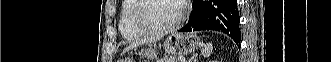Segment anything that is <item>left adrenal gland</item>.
I'll list each match as a JSON object with an SVG mask.
<instances>
[{"label":"left adrenal gland","instance_id":"obj_1","mask_svg":"<svg viewBox=\"0 0 331 62\" xmlns=\"http://www.w3.org/2000/svg\"><path fill=\"white\" fill-rule=\"evenodd\" d=\"M192 60H193V62H195L196 60H194V56L191 58V62H192Z\"/></svg>","mask_w":331,"mask_h":62}]
</instances>
